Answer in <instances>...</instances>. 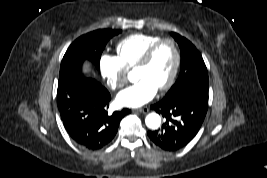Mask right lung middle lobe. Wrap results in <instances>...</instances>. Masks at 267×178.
I'll list each match as a JSON object with an SVG mask.
<instances>
[{"instance_id":"obj_1","label":"right lung middle lobe","mask_w":267,"mask_h":178,"mask_svg":"<svg viewBox=\"0 0 267 178\" xmlns=\"http://www.w3.org/2000/svg\"><path fill=\"white\" fill-rule=\"evenodd\" d=\"M121 30H96L76 39L67 49L60 66L59 83L82 77V65L87 60L99 67L101 54L110 38Z\"/></svg>"}]
</instances>
